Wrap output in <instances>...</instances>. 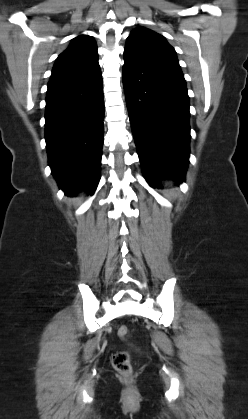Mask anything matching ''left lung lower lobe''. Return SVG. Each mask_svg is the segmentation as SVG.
<instances>
[{"mask_svg": "<svg viewBox=\"0 0 248 419\" xmlns=\"http://www.w3.org/2000/svg\"><path fill=\"white\" fill-rule=\"evenodd\" d=\"M123 85L143 173L184 181L189 162V97L184 76L124 52Z\"/></svg>", "mask_w": 248, "mask_h": 419, "instance_id": "left-lung-lower-lobe-1", "label": "left lung lower lobe"}]
</instances>
